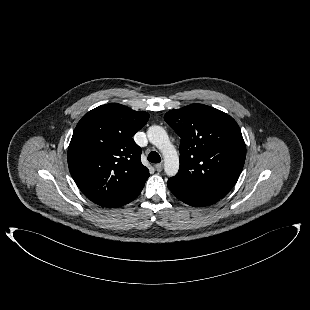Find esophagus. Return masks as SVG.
Here are the masks:
<instances>
[{
  "mask_svg": "<svg viewBox=\"0 0 310 310\" xmlns=\"http://www.w3.org/2000/svg\"><path fill=\"white\" fill-rule=\"evenodd\" d=\"M155 168L158 172H161L163 170V164L162 163H158L155 165Z\"/></svg>",
  "mask_w": 310,
  "mask_h": 310,
  "instance_id": "1",
  "label": "esophagus"
}]
</instances>
